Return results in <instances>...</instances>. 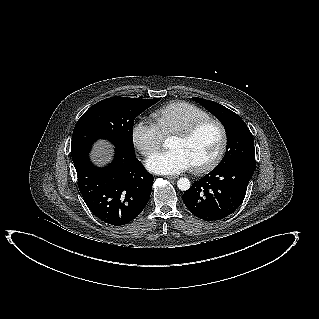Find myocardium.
Returning <instances> with one entry per match:
<instances>
[{"instance_id": "obj_1", "label": "myocardium", "mask_w": 319, "mask_h": 319, "mask_svg": "<svg viewBox=\"0 0 319 319\" xmlns=\"http://www.w3.org/2000/svg\"><path fill=\"white\" fill-rule=\"evenodd\" d=\"M209 124L216 126V128L219 131V134H220L219 147L216 154L208 162L204 164H200V165L191 166V169L194 173H198V174L207 173L213 170L223 159L227 149V144H228V134H227L225 126L220 120L216 118H212V117H207V118L197 120L191 123L190 125H188L187 127H185L184 129L174 132L172 134V137L188 140L191 137H193V135L197 131H199L201 128Z\"/></svg>"}]
</instances>
